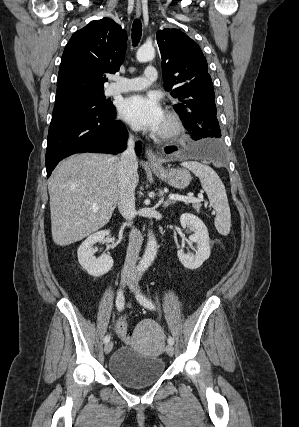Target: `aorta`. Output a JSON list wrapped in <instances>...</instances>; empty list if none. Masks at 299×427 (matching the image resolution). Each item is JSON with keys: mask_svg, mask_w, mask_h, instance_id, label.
<instances>
[{"mask_svg": "<svg viewBox=\"0 0 299 427\" xmlns=\"http://www.w3.org/2000/svg\"><path fill=\"white\" fill-rule=\"evenodd\" d=\"M155 57V49L153 46L143 45L141 46L136 54V58L139 62H148L151 61ZM157 241L155 236L153 235L152 231H148V241L147 246L144 252V255L142 257V260L140 261V268L141 269H147L152 262L154 261L156 254H157Z\"/></svg>", "mask_w": 299, "mask_h": 427, "instance_id": "762f6f07", "label": "aorta"}]
</instances>
